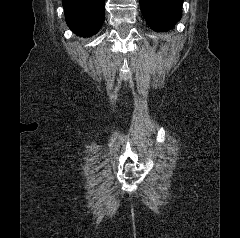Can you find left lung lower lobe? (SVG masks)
Here are the masks:
<instances>
[{
	"mask_svg": "<svg viewBox=\"0 0 240 238\" xmlns=\"http://www.w3.org/2000/svg\"><path fill=\"white\" fill-rule=\"evenodd\" d=\"M183 0H140L147 24L157 32L171 29L181 19Z\"/></svg>",
	"mask_w": 240,
	"mask_h": 238,
	"instance_id": "0a47b994",
	"label": "left lung lower lobe"
}]
</instances>
